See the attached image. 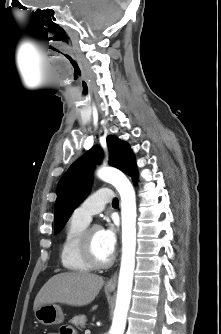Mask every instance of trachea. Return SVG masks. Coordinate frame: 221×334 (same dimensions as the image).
<instances>
[{
  "mask_svg": "<svg viewBox=\"0 0 221 334\" xmlns=\"http://www.w3.org/2000/svg\"><path fill=\"white\" fill-rule=\"evenodd\" d=\"M112 204H113V205L118 204V199L115 198V199L113 200Z\"/></svg>",
  "mask_w": 221,
  "mask_h": 334,
  "instance_id": "3493384b",
  "label": "trachea"
}]
</instances>
